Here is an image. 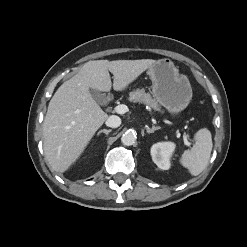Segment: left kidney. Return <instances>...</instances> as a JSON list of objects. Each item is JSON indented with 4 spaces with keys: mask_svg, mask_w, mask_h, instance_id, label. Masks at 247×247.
<instances>
[{
    "mask_svg": "<svg viewBox=\"0 0 247 247\" xmlns=\"http://www.w3.org/2000/svg\"><path fill=\"white\" fill-rule=\"evenodd\" d=\"M175 150L173 142H158L151 147L153 162L162 170H168L171 166L170 158Z\"/></svg>",
    "mask_w": 247,
    "mask_h": 247,
    "instance_id": "5707ae66",
    "label": "left kidney"
}]
</instances>
